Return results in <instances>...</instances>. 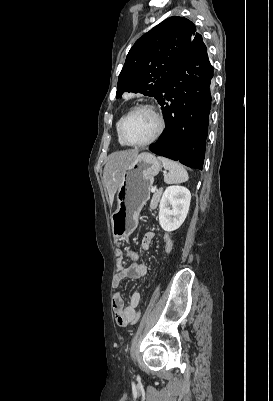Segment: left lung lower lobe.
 I'll list each match as a JSON object with an SVG mask.
<instances>
[{
	"label": "left lung lower lobe",
	"mask_w": 273,
	"mask_h": 401,
	"mask_svg": "<svg viewBox=\"0 0 273 401\" xmlns=\"http://www.w3.org/2000/svg\"><path fill=\"white\" fill-rule=\"evenodd\" d=\"M212 78L213 66L201 36L190 46L156 98L161 105L166 128L159 140L149 147L152 152L202 170Z\"/></svg>",
	"instance_id": "0a47b994"
}]
</instances>
